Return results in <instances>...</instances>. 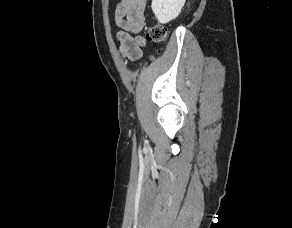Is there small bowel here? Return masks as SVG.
Wrapping results in <instances>:
<instances>
[{
    "label": "small bowel",
    "mask_w": 292,
    "mask_h": 228,
    "mask_svg": "<svg viewBox=\"0 0 292 228\" xmlns=\"http://www.w3.org/2000/svg\"><path fill=\"white\" fill-rule=\"evenodd\" d=\"M148 0H121L115 9V23L120 28L116 37L121 54L134 61L141 57L145 40L141 36H133L145 24V10Z\"/></svg>",
    "instance_id": "1"
}]
</instances>
